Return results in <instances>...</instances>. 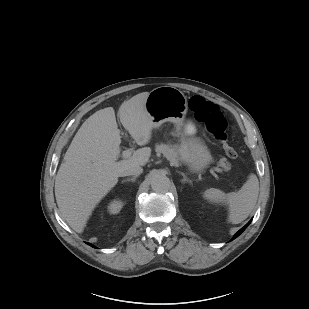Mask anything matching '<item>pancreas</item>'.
Here are the masks:
<instances>
[{"label": "pancreas", "instance_id": "cf45deb5", "mask_svg": "<svg viewBox=\"0 0 309 309\" xmlns=\"http://www.w3.org/2000/svg\"><path fill=\"white\" fill-rule=\"evenodd\" d=\"M155 151L157 153H162L172 165H177L183 161V158L180 156V150H178L176 146L161 143L156 145ZM219 165L228 169L229 163L226 162V158H222Z\"/></svg>", "mask_w": 309, "mask_h": 309}]
</instances>
